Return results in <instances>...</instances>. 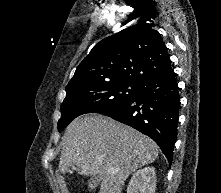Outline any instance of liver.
I'll list each match as a JSON object with an SVG mask.
<instances>
[{
    "label": "liver",
    "instance_id": "1",
    "mask_svg": "<svg viewBox=\"0 0 221 193\" xmlns=\"http://www.w3.org/2000/svg\"><path fill=\"white\" fill-rule=\"evenodd\" d=\"M158 154L157 144L148 136L110 117L90 114L67 126L59 170L65 174L71 168L98 177L99 193H121L130 174L153 163Z\"/></svg>",
    "mask_w": 221,
    "mask_h": 193
}]
</instances>
